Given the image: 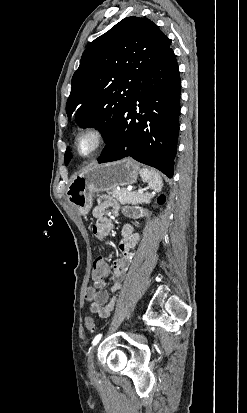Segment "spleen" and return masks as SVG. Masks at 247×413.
Returning <instances> with one entry per match:
<instances>
[{"instance_id":"1","label":"spleen","mask_w":247,"mask_h":413,"mask_svg":"<svg viewBox=\"0 0 247 413\" xmlns=\"http://www.w3.org/2000/svg\"><path fill=\"white\" fill-rule=\"evenodd\" d=\"M140 174L143 178V180H146V182H149V186L153 188V190H156V192H159L162 188V178L157 172V170H149V168H141Z\"/></svg>"}]
</instances>
